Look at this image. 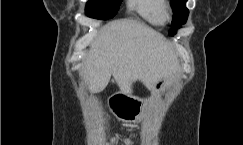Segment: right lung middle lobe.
Masks as SVG:
<instances>
[{
  "instance_id": "dd1d6c3e",
  "label": "right lung middle lobe",
  "mask_w": 243,
  "mask_h": 145,
  "mask_svg": "<svg viewBox=\"0 0 243 145\" xmlns=\"http://www.w3.org/2000/svg\"><path fill=\"white\" fill-rule=\"evenodd\" d=\"M122 0H89L86 4L87 16L98 19L112 18L118 11Z\"/></svg>"
}]
</instances>
